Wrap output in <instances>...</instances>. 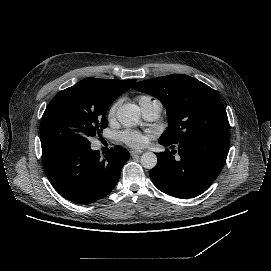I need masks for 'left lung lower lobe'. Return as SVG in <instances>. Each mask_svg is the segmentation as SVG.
<instances>
[{
    "label": "left lung lower lobe",
    "mask_w": 271,
    "mask_h": 271,
    "mask_svg": "<svg viewBox=\"0 0 271 271\" xmlns=\"http://www.w3.org/2000/svg\"><path fill=\"white\" fill-rule=\"evenodd\" d=\"M165 147L175 145L159 140ZM175 150L157 153L158 164L150 171L154 185L178 198H192L203 193L221 172L229 151L230 138L203 134L196 140L178 143Z\"/></svg>",
    "instance_id": "1"
}]
</instances>
